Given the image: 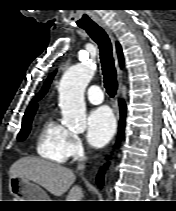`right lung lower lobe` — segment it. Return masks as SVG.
<instances>
[{
  "label": "right lung lower lobe",
  "instance_id": "98d812e1",
  "mask_svg": "<svg viewBox=\"0 0 176 211\" xmlns=\"http://www.w3.org/2000/svg\"><path fill=\"white\" fill-rule=\"evenodd\" d=\"M119 102H120V113H121V120H120V126H119V129H120L119 135H122V132H123V129H124V117H125L126 107H125L124 102H122L121 100ZM105 166H107V165H105ZM103 176H104V168L101 169V171L99 172V175L97 177V183H98L99 187H102V185H103Z\"/></svg>",
  "mask_w": 176,
  "mask_h": 211
}]
</instances>
